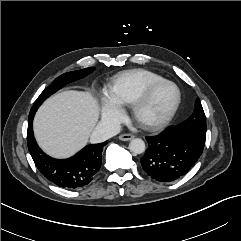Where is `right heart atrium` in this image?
Returning <instances> with one entry per match:
<instances>
[{
    "label": "right heart atrium",
    "instance_id": "obj_1",
    "mask_svg": "<svg viewBox=\"0 0 241 241\" xmlns=\"http://www.w3.org/2000/svg\"><path fill=\"white\" fill-rule=\"evenodd\" d=\"M103 100V118L117 124L123 118L122 107L115 102L112 96V92L109 90H104L102 92Z\"/></svg>",
    "mask_w": 241,
    "mask_h": 241
}]
</instances>
